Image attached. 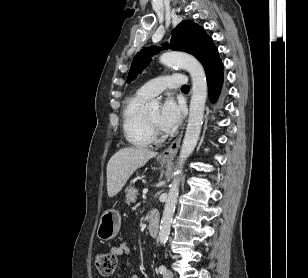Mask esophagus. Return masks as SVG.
I'll use <instances>...</instances> for the list:
<instances>
[{
	"instance_id": "obj_1",
	"label": "esophagus",
	"mask_w": 308,
	"mask_h": 278,
	"mask_svg": "<svg viewBox=\"0 0 308 278\" xmlns=\"http://www.w3.org/2000/svg\"><path fill=\"white\" fill-rule=\"evenodd\" d=\"M182 135H183V130L180 132V134L177 136V138L174 139V141L171 143V145L160 154V156H159L160 160H162V161L173 160V158L176 155L178 148L180 146Z\"/></svg>"
}]
</instances>
